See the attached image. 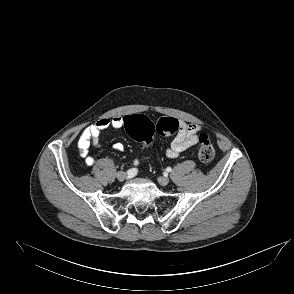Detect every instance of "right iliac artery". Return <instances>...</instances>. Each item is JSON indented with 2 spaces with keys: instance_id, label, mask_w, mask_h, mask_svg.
<instances>
[{
  "instance_id": "right-iliac-artery-1",
  "label": "right iliac artery",
  "mask_w": 294,
  "mask_h": 294,
  "mask_svg": "<svg viewBox=\"0 0 294 294\" xmlns=\"http://www.w3.org/2000/svg\"><path fill=\"white\" fill-rule=\"evenodd\" d=\"M128 176L133 177L137 174V170L136 169H130L127 171Z\"/></svg>"
}]
</instances>
